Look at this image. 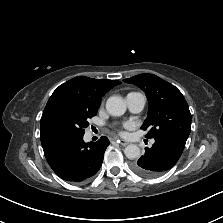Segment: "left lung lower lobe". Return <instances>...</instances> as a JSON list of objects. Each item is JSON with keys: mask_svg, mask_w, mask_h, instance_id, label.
Segmentation results:
<instances>
[{"mask_svg": "<svg viewBox=\"0 0 223 223\" xmlns=\"http://www.w3.org/2000/svg\"><path fill=\"white\" fill-rule=\"evenodd\" d=\"M151 148H145V154L132 164L133 171L147 178L163 174L171 169L180 158L186 140L176 135H163L154 138Z\"/></svg>", "mask_w": 223, "mask_h": 223, "instance_id": "0a47b994", "label": "left lung lower lobe"}]
</instances>
